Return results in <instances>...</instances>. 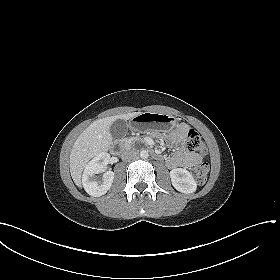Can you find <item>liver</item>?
<instances>
[{
	"label": "liver",
	"mask_w": 280,
	"mask_h": 280,
	"mask_svg": "<svg viewBox=\"0 0 280 280\" xmlns=\"http://www.w3.org/2000/svg\"><path fill=\"white\" fill-rule=\"evenodd\" d=\"M141 112L115 115L92 122L76 139L70 153V172L74 183L81 186L82 172L88 161L101 153H105L111 143L109 131L111 124L117 120H129Z\"/></svg>",
	"instance_id": "6515ba94"
}]
</instances>
